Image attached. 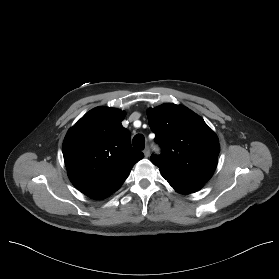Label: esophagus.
Returning <instances> with one entry per match:
<instances>
[{
    "mask_svg": "<svg viewBox=\"0 0 279 279\" xmlns=\"http://www.w3.org/2000/svg\"><path fill=\"white\" fill-rule=\"evenodd\" d=\"M143 153H144V156H145L146 158L149 157V155H150V150H149V148L146 147V148L144 149Z\"/></svg>",
    "mask_w": 279,
    "mask_h": 279,
    "instance_id": "34e87169",
    "label": "esophagus"
}]
</instances>
